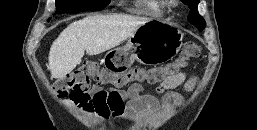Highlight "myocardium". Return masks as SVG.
<instances>
[{
	"label": "myocardium",
	"mask_w": 257,
	"mask_h": 130,
	"mask_svg": "<svg viewBox=\"0 0 257 130\" xmlns=\"http://www.w3.org/2000/svg\"><path fill=\"white\" fill-rule=\"evenodd\" d=\"M167 1H168L167 3L171 6H177L179 3L178 0H167Z\"/></svg>",
	"instance_id": "1"
}]
</instances>
